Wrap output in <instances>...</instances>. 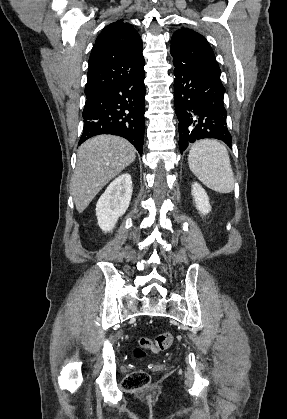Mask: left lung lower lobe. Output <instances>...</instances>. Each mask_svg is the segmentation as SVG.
<instances>
[{
	"label": "left lung lower lobe",
	"mask_w": 287,
	"mask_h": 419,
	"mask_svg": "<svg viewBox=\"0 0 287 419\" xmlns=\"http://www.w3.org/2000/svg\"><path fill=\"white\" fill-rule=\"evenodd\" d=\"M220 73L174 69V102L181 153L189 143L204 138L219 139L231 147L232 137L227 129L223 103L225 88Z\"/></svg>",
	"instance_id": "left-lung-lower-lobe-1"
}]
</instances>
